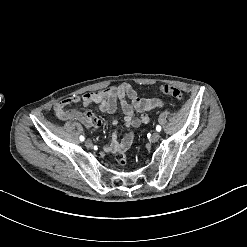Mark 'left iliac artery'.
<instances>
[{"label":"left iliac artery","mask_w":247,"mask_h":247,"mask_svg":"<svg viewBox=\"0 0 247 247\" xmlns=\"http://www.w3.org/2000/svg\"><path fill=\"white\" fill-rule=\"evenodd\" d=\"M156 130H157L158 132H160V131H161V126H160V125H157V126H156Z\"/></svg>","instance_id":"1"}]
</instances>
